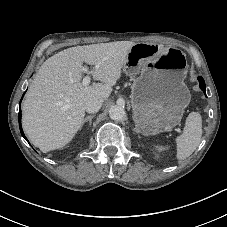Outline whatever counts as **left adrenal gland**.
Returning <instances> with one entry per match:
<instances>
[{"instance_id": "obj_1", "label": "left adrenal gland", "mask_w": 227, "mask_h": 227, "mask_svg": "<svg viewBox=\"0 0 227 227\" xmlns=\"http://www.w3.org/2000/svg\"><path fill=\"white\" fill-rule=\"evenodd\" d=\"M134 130H135V132L136 133H138L139 134V130H138V128L136 127V128H134Z\"/></svg>"}]
</instances>
